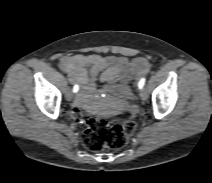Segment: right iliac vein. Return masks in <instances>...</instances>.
<instances>
[{
  "label": "right iliac vein",
  "mask_w": 212,
  "mask_h": 183,
  "mask_svg": "<svg viewBox=\"0 0 212 183\" xmlns=\"http://www.w3.org/2000/svg\"><path fill=\"white\" fill-rule=\"evenodd\" d=\"M66 99L68 101H71L73 99V93L70 89H68L67 92H66Z\"/></svg>",
  "instance_id": "63e3f726"
}]
</instances>
